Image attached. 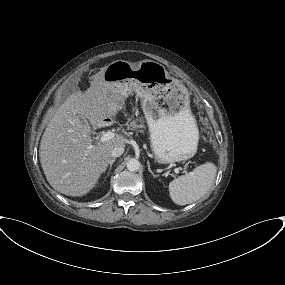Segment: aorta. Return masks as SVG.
Here are the masks:
<instances>
[{"label": "aorta", "mask_w": 285, "mask_h": 285, "mask_svg": "<svg viewBox=\"0 0 285 285\" xmlns=\"http://www.w3.org/2000/svg\"><path fill=\"white\" fill-rule=\"evenodd\" d=\"M140 162L139 160L135 159V158H132L130 159L127 163H126V166H127V169L130 171V172H136L139 170L140 168Z\"/></svg>", "instance_id": "1"}]
</instances>
